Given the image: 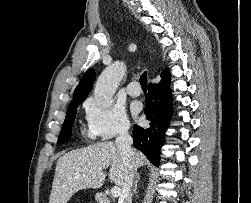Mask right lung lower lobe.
<instances>
[{"label":"right lung lower lobe","instance_id":"right-lung-lower-lobe-1","mask_svg":"<svg viewBox=\"0 0 251 203\" xmlns=\"http://www.w3.org/2000/svg\"><path fill=\"white\" fill-rule=\"evenodd\" d=\"M170 79L167 71L162 72L161 81L149 84L144 113L150 121L149 127L133 128L134 146L141 150L154 164L159 165L160 148L164 143L165 131L172 116Z\"/></svg>","mask_w":251,"mask_h":203}]
</instances>
